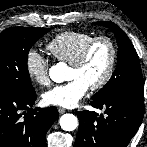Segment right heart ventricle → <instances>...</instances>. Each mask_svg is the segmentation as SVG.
Returning <instances> with one entry per match:
<instances>
[{"mask_svg": "<svg viewBox=\"0 0 147 147\" xmlns=\"http://www.w3.org/2000/svg\"><path fill=\"white\" fill-rule=\"evenodd\" d=\"M94 37L87 32L66 31L51 39L46 48L58 61L71 64Z\"/></svg>", "mask_w": 147, "mask_h": 147, "instance_id": "right-heart-ventricle-1", "label": "right heart ventricle"}]
</instances>
